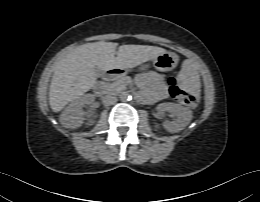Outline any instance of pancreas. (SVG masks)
I'll return each instance as SVG.
<instances>
[{
  "label": "pancreas",
  "instance_id": "pancreas-1",
  "mask_svg": "<svg viewBox=\"0 0 260 202\" xmlns=\"http://www.w3.org/2000/svg\"><path fill=\"white\" fill-rule=\"evenodd\" d=\"M126 77L119 79L113 83H105V88L108 92H120L121 90L126 88Z\"/></svg>",
  "mask_w": 260,
  "mask_h": 202
}]
</instances>
